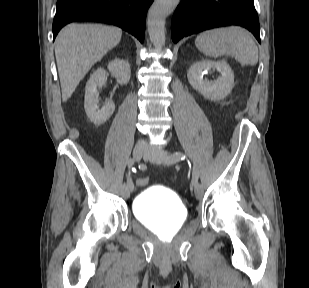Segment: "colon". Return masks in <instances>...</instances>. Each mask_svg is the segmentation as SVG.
Segmentation results:
<instances>
[{"label":"colon","instance_id":"5ec220e1","mask_svg":"<svg viewBox=\"0 0 309 288\" xmlns=\"http://www.w3.org/2000/svg\"><path fill=\"white\" fill-rule=\"evenodd\" d=\"M148 182H149V179L147 177H142L137 180V185L139 187H144L148 184Z\"/></svg>","mask_w":309,"mask_h":288}]
</instances>
